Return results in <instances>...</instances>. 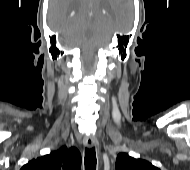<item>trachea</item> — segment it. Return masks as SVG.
<instances>
[{
	"instance_id": "obj_1",
	"label": "trachea",
	"mask_w": 190,
	"mask_h": 170,
	"mask_svg": "<svg viewBox=\"0 0 190 170\" xmlns=\"http://www.w3.org/2000/svg\"><path fill=\"white\" fill-rule=\"evenodd\" d=\"M84 163L85 170H96L97 159L95 148L85 149Z\"/></svg>"
}]
</instances>
